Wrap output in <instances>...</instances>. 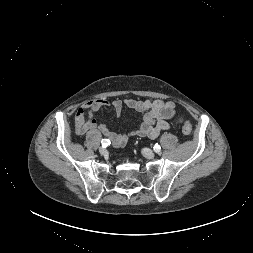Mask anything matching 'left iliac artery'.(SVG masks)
<instances>
[{"label":"left iliac artery","instance_id":"left-iliac-artery-1","mask_svg":"<svg viewBox=\"0 0 253 253\" xmlns=\"http://www.w3.org/2000/svg\"><path fill=\"white\" fill-rule=\"evenodd\" d=\"M154 151H155L156 153H159V152L161 151L160 145L155 144V145H154Z\"/></svg>","mask_w":253,"mask_h":253}]
</instances>
